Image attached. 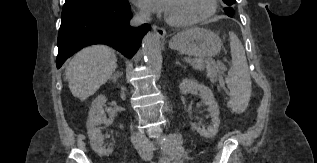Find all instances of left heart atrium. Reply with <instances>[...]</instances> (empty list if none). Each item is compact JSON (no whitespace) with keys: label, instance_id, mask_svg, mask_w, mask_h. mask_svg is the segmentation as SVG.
<instances>
[{"label":"left heart atrium","instance_id":"left-heart-atrium-1","mask_svg":"<svg viewBox=\"0 0 317 163\" xmlns=\"http://www.w3.org/2000/svg\"><path fill=\"white\" fill-rule=\"evenodd\" d=\"M170 0H136V3L145 9L157 13H166Z\"/></svg>","mask_w":317,"mask_h":163}]
</instances>
